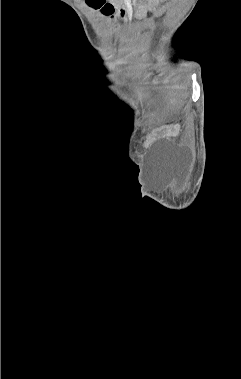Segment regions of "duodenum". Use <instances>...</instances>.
I'll return each mask as SVG.
<instances>
[{
	"label": "duodenum",
	"instance_id": "obj_1",
	"mask_svg": "<svg viewBox=\"0 0 241 379\" xmlns=\"http://www.w3.org/2000/svg\"><path fill=\"white\" fill-rule=\"evenodd\" d=\"M112 6V5H111ZM113 8V7H112ZM124 8H125V6H124V4H122L121 6H120V12L123 14L124 13ZM106 12V11H105Z\"/></svg>",
	"mask_w": 241,
	"mask_h": 379
}]
</instances>
